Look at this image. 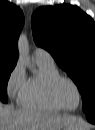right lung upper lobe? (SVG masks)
I'll use <instances>...</instances> for the list:
<instances>
[{"instance_id": "1", "label": "right lung upper lobe", "mask_w": 95, "mask_h": 130, "mask_svg": "<svg viewBox=\"0 0 95 130\" xmlns=\"http://www.w3.org/2000/svg\"><path fill=\"white\" fill-rule=\"evenodd\" d=\"M24 24L19 7L0 2V65H16L17 40Z\"/></svg>"}]
</instances>
